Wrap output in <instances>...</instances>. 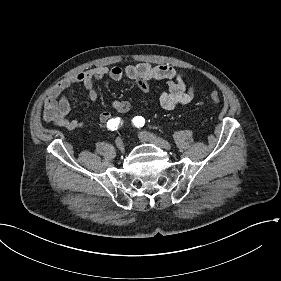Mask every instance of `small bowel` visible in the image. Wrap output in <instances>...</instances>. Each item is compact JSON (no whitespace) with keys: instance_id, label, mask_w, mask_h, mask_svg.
Returning a JSON list of instances; mask_svg holds the SVG:
<instances>
[{"instance_id":"obj_1","label":"small bowel","mask_w":281,"mask_h":281,"mask_svg":"<svg viewBox=\"0 0 281 281\" xmlns=\"http://www.w3.org/2000/svg\"><path fill=\"white\" fill-rule=\"evenodd\" d=\"M109 77L119 81L126 77L137 82L139 89L148 92L149 80H167L168 91L160 97V104L166 110H173L179 105L189 103L194 95V88L185 82L184 75L169 65L153 66L148 63L120 66L96 67L84 72L76 73L63 79L55 88L52 95L44 104V120L67 130H77L94 123L106 124L112 116L108 111L101 112L96 118L74 119L68 116L71 104L68 91L74 84H80L85 89V97L94 102L98 93L94 88L97 81ZM113 108L119 114H126L130 110L127 101H114Z\"/></svg>"}]
</instances>
